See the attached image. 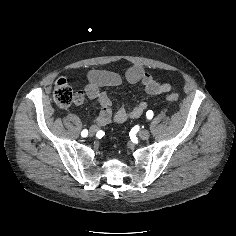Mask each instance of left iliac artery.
<instances>
[{
  "mask_svg": "<svg viewBox=\"0 0 236 236\" xmlns=\"http://www.w3.org/2000/svg\"><path fill=\"white\" fill-rule=\"evenodd\" d=\"M146 116H147L148 119H152L153 112L151 110L147 111Z\"/></svg>",
  "mask_w": 236,
  "mask_h": 236,
  "instance_id": "44dca946",
  "label": "left iliac artery"
}]
</instances>
